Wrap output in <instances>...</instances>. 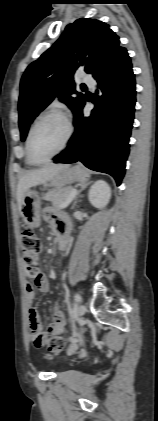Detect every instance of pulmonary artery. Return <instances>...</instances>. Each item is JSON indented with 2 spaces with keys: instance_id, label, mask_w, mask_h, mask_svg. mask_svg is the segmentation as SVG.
Listing matches in <instances>:
<instances>
[{
  "instance_id": "e3ab8cb5",
  "label": "pulmonary artery",
  "mask_w": 158,
  "mask_h": 421,
  "mask_svg": "<svg viewBox=\"0 0 158 421\" xmlns=\"http://www.w3.org/2000/svg\"><path fill=\"white\" fill-rule=\"evenodd\" d=\"M83 82L88 85L90 88H94L95 86V80L92 77H85L83 79Z\"/></svg>"
}]
</instances>
